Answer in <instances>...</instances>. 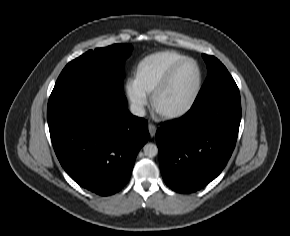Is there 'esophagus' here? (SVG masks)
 Wrapping results in <instances>:
<instances>
[{
	"mask_svg": "<svg viewBox=\"0 0 290 236\" xmlns=\"http://www.w3.org/2000/svg\"><path fill=\"white\" fill-rule=\"evenodd\" d=\"M148 131H149V133H150V136H151V137H154L155 134H156V131H157V127H156V125H154V124H152V123H149V124H148Z\"/></svg>",
	"mask_w": 290,
	"mask_h": 236,
	"instance_id": "34e87169",
	"label": "esophagus"
}]
</instances>
